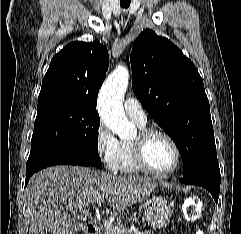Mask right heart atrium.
<instances>
[{"instance_id": "right-heart-atrium-1", "label": "right heart atrium", "mask_w": 241, "mask_h": 234, "mask_svg": "<svg viewBox=\"0 0 241 234\" xmlns=\"http://www.w3.org/2000/svg\"><path fill=\"white\" fill-rule=\"evenodd\" d=\"M96 153L104 167L111 172L117 171L120 141L104 123H100L95 132Z\"/></svg>"}]
</instances>
